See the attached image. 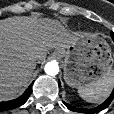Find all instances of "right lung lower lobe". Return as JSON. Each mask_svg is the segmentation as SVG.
<instances>
[{"mask_svg": "<svg viewBox=\"0 0 114 114\" xmlns=\"http://www.w3.org/2000/svg\"><path fill=\"white\" fill-rule=\"evenodd\" d=\"M32 85L33 83L28 87V89L17 99L6 101V102H0V112L14 109L16 107H19L23 105L29 98V96L32 93Z\"/></svg>", "mask_w": 114, "mask_h": 114, "instance_id": "right-lung-lower-lobe-1", "label": "right lung lower lobe"}]
</instances>
